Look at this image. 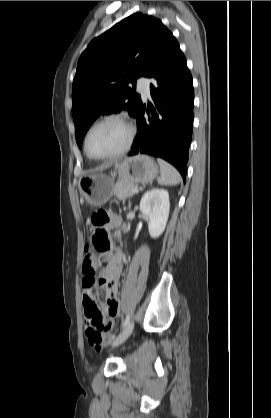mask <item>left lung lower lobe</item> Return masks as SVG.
I'll list each match as a JSON object with an SVG mask.
<instances>
[{"mask_svg":"<svg viewBox=\"0 0 271 418\" xmlns=\"http://www.w3.org/2000/svg\"><path fill=\"white\" fill-rule=\"evenodd\" d=\"M155 108H147L151 117L144 118L145 105L136 115L139 133L129 155L149 154L173 164L185 181L188 150L192 139L194 91L192 76L184 54L173 37L164 56L150 76Z\"/></svg>","mask_w":271,"mask_h":418,"instance_id":"1","label":"left lung lower lobe"}]
</instances>
